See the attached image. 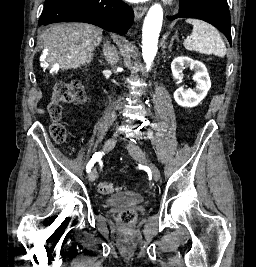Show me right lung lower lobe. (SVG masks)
Listing matches in <instances>:
<instances>
[{"mask_svg":"<svg viewBox=\"0 0 256 267\" xmlns=\"http://www.w3.org/2000/svg\"><path fill=\"white\" fill-rule=\"evenodd\" d=\"M133 19L132 8L121 0H56L44 5L38 25L84 22L123 35Z\"/></svg>","mask_w":256,"mask_h":267,"instance_id":"98d812e1","label":"right lung lower lobe"}]
</instances>
